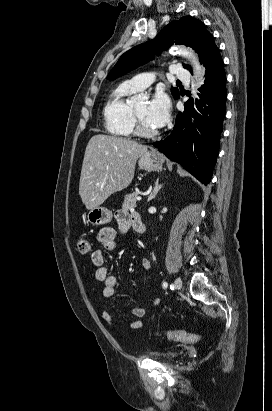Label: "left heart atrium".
Masks as SVG:
<instances>
[{
	"label": "left heart atrium",
	"mask_w": 272,
	"mask_h": 411,
	"mask_svg": "<svg viewBox=\"0 0 272 411\" xmlns=\"http://www.w3.org/2000/svg\"><path fill=\"white\" fill-rule=\"evenodd\" d=\"M169 111L170 101L165 93L159 91L147 106L146 119L154 128H160L168 121Z\"/></svg>",
	"instance_id": "obj_1"
}]
</instances>
